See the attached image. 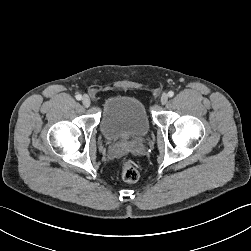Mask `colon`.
<instances>
[{"label": "colon", "mask_w": 251, "mask_h": 251, "mask_svg": "<svg viewBox=\"0 0 251 251\" xmlns=\"http://www.w3.org/2000/svg\"><path fill=\"white\" fill-rule=\"evenodd\" d=\"M121 176L127 183H134L139 178V172L133 162L129 159H124L121 163Z\"/></svg>", "instance_id": "5ec220e1"}]
</instances>
